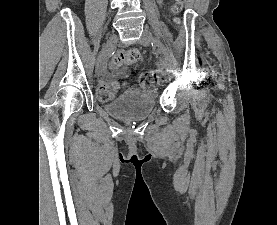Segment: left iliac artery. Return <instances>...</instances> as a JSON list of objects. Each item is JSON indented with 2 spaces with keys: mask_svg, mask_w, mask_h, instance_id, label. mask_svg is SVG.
Here are the masks:
<instances>
[{
  "mask_svg": "<svg viewBox=\"0 0 277 225\" xmlns=\"http://www.w3.org/2000/svg\"><path fill=\"white\" fill-rule=\"evenodd\" d=\"M152 45L156 46L158 48L159 53L161 54L160 66L167 72H173V70L170 67V56L164 44L159 39L155 38L153 40Z\"/></svg>",
  "mask_w": 277,
  "mask_h": 225,
  "instance_id": "1",
  "label": "left iliac artery"
}]
</instances>
